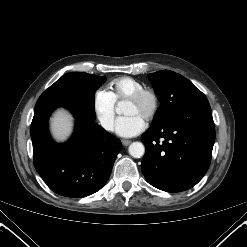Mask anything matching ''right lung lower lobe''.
Here are the masks:
<instances>
[{"mask_svg":"<svg viewBox=\"0 0 247 247\" xmlns=\"http://www.w3.org/2000/svg\"><path fill=\"white\" fill-rule=\"evenodd\" d=\"M69 109L76 127L65 144L55 143L48 131L51 112ZM94 97L66 93H43L36 105L30 134L34 166L48 187L66 197H85L107 182L121 141L94 122Z\"/></svg>","mask_w":247,"mask_h":247,"instance_id":"1","label":"right lung lower lobe"}]
</instances>
